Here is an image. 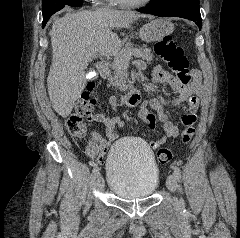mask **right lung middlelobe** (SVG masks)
Instances as JSON below:
<instances>
[{
	"label": "right lung middle lobe",
	"mask_w": 240,
	"mask_h": 238,
	"mask_svg": "<svg viewBox=\"0 0 240 238\" xmlns=\"http://www.w3.org/2000/svg\"><path fill=\"white\" fill-rule=\"evenodd\" d=\"M80 0H42L43 23H47L52 14Z\"/></svg>",
	"instance_id": "1"
}]
</instances>
